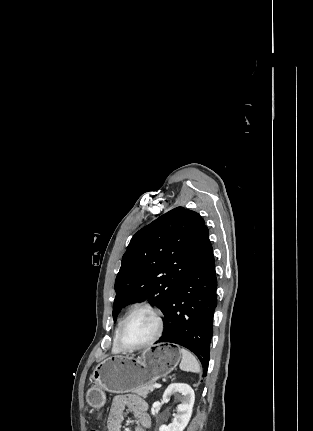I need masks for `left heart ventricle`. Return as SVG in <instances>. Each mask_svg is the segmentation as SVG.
I'll use <instances>...</instances> for the list:
<instances>
[{
    "label": "left heart ventricle",
    "mask_w": 313,
    "mask_h": 431,
    "mask_svg": "<svg viewBox=\"0 0 313 431\" xmlns=\"http://www.w3.org/2000/svg\"><path fill=\"white\" fill-rule=\"evenodd\" d=\"M156 329L157 322L154 315L149 311H138L125 325L121 340L126 346H138L150 340Z\"/></svg>",
    "instance_id": "1"
}]
</instances>
